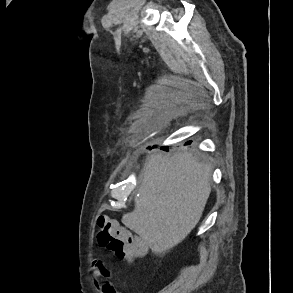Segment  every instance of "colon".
Masks as SVG:
<instances>
[{
    "label": "colon",
    "mask_w": 293,
    "mask_h": 293,
    "mask_svg": "<svg viewBox=\"0 0 293 293\" xmlns=\"http://www.w3.org/2000/svg\"><path fill=\"white\" fill-rule=\"evenodd\" d=\"M97 241L116 258L134 262L147 250L146 242L119 226L116 220L101 214L97 219Z\"/></svg>",
    "instance_id": "5ec220e1"
}]
</instances>
